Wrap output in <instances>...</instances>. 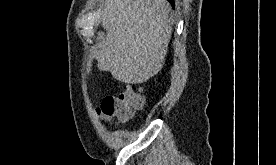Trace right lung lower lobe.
<instances>
[{
  "label": "right lung lower lobe",
  "instance_id": "1",
  "mask_svg": "<svg viewBox=\"0 0 276 165\" xmlns=\"http://www.w3.org/2000/svg\"><path fill=\"white\" fill-rule=\"evenodd\" d=\"M174 6V0H168Z\"/></svg>",
  "mask_w": 276,
  "mask_h": 165
}]
</instances>
